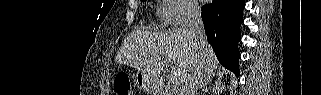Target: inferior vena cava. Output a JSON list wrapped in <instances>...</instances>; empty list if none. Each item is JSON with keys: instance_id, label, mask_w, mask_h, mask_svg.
I'll return each instance as SVG.
<instances>
[{"instance_id": "602c4592", "label": "inferior vena cava", "mask_w": 321, "mask_h": 95, "mask_svg": "<svg viewBox=\"0 0 321 95\" xmlns=\"http://www.w3.org/2000/svg\"><path fill=\"white\" fill-rule=\"evenodd\" d=\"M187 26L193 35L196 45L201 49L206 43V36L201 10L196 5L188 7ZM205 78L206 68L201 60L196 68L186 77L184 85L180 88L178 95H195Z\"/></svg>"}]
</instances>
